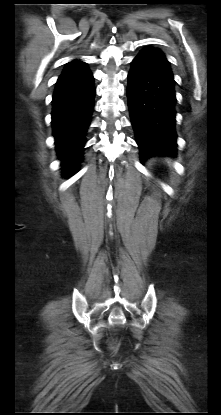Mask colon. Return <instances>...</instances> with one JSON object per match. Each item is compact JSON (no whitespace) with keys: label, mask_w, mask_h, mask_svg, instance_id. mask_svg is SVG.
Returning <instances> with one entry per match:
<instances>
[{"label":"colon","mask_w":221,"mask_h":415,"mask_svg":"<svg viewBox=\"0 0 221 415\" xmlns=\"http://www.w3.org/2000/svg\"><path fill=\"white\" fill-rule=\"evenodd\" d=\"M110 345L113 347V346H115V343L111 342Z\"/></svg>","instance_id":"obj_1"}]
</instances>
